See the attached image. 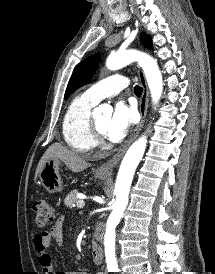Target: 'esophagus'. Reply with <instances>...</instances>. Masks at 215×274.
<instances>
[{"mask_svg":"<svg viewBox=\"0 0 215 274\" xmlns=\"http://www.w3.org/2000/svg\"><path fill=\"white\" fill-rule=\"evenodd\" d=\"M138 75H139V79H140V82H141V85L143 88V93H142V97H141V101H140L141 120H140L139 124L136 126V128L134 129L130 139L126 142V144L112 158H110L108 161L101 164L96 169V173L101 176L109 177L112 175L113 168L119 163V161L123 157L124 153L126 152L127 148L129 147V145L138 136V134L145 122L147 108H148V101H149V91H148V86H147V82H146L144 73L140 68H138Z\"/></svg>","mask_w":215,"mask_h":274,"instance_id":"1","label":"esophagus"}]
</instances>
